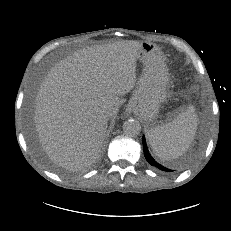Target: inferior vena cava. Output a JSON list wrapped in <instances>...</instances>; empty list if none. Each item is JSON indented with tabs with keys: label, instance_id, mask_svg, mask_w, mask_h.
Masks as SVG:
<instances>
[{
	"label": "inferior vena cava",
	"instance_id": "inferior-vena-cava-1",
	"mask_svg": "<svg viewBox=\"0 0 231 231\" xmlns=\"http://www.w3.org/2000/svg\"><path fill=\"white\" fill-rule=\"evenodd\" d=\"M102 115H103L104 117H108V116L110 115V111H109L108 109H105V110H103Z\"/></svg>",
	"mask_w": 231,
	"mask_h": 231
}]
</instances>
